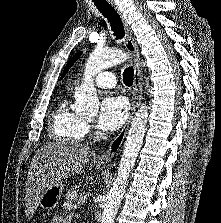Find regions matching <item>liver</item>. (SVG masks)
<instances>
[{
	"label": "liver",
	"mask_w": 221,
	"mask_h": 223,
	"mask_svg": "<svg viewBox=\"0 0 221 223\" xmlns=\"http://www.w3.org/2000/svg\"><path fill=\"white\" fill-rule=\"evenodd\" d=\"M92 155L89 147L69 140L51 142L37 150L27 176V218L32 217L47 188L81 172Z\"/></svg>",
	"instance_id": "6515ba94"
}]
</instances>
